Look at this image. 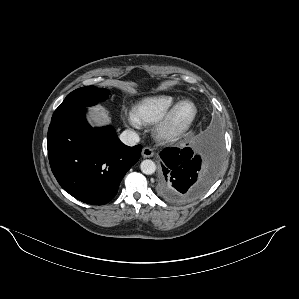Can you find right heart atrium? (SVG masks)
I'll return each instance as SVG.
<instances>
[{
    "instance_id": "1",
    "label": "right heart atrium",
    "mask_w": 299,
    "mask_h": 299,
    "mask_svg": "<svg viewBox=\"0 0 299 299\" xmlns=\"http://www.w3.org/2000/svg\"><path fill=\"white\" fill-rule=\"evenodd\" d=\"M124 120L131 126L133 127H139L140 126V122L139 120L135 117L133 112H127L124 115Z\"/></svg>"
}]
</instances>
